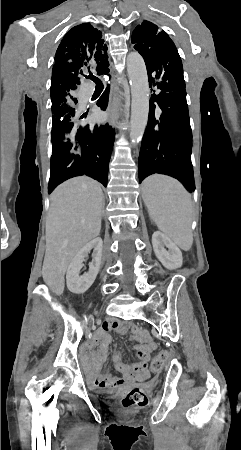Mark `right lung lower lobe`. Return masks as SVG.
<instances>
[{"instance_id": "right-lung-lower-lobe-1", "label": "right lung lower lobe", "mask_w": 241, "mask_h": 450, "mask_svg": "<svg viewBox=\"0 0 241 450\" xmlns=\"http://www.w3.org/2000/svg\"><path fill=\"white\" fill-rule=\"evenodd\" d=\"M108 66L97 72L98 75H108ZM109 89L108 85L97 101L102 110L107 108ZM55 127L62 134H72L75 141L71 145L53 146L48 193L63 181L81 175L90 176L107 186L114 129L110 126H76L74 118L70 116L58 120Z\"/></svg>"}]
</instances>
